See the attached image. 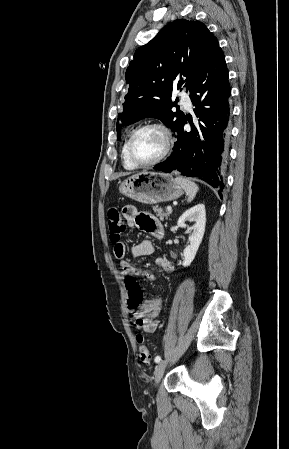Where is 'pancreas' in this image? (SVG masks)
Instances as JSON below:
<instances>
[{
	"mask_svg": "<svg viewBox=\"0 0 289 449\" xmlns=\"http://www.w3.org/2000/svg\"><path fill=\"white\" fill-rule=\"evenodd\" d=\"M153 211L156 213L157 216L160 217V220H164V219H168V217L170 216L171 212L167 211L164 212L163 209L161 207H153Z\"/></svg>",
	"mask_w": 289,
	"mask_h": 449,
	"instance_id": "cf45deb5",
	"label": "pancreas"
}]
</instances>
